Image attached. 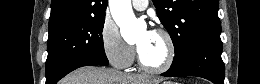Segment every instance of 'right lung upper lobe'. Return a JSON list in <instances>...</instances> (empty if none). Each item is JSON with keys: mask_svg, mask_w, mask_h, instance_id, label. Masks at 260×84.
<instances>
[{"mask_svg": "<svg viewBox=\"0 0 260 84\" xmlns=\"http://www.w3.org/2000/svg\"><path fill=\"white\" fill-rule=\"evenodd\" d=\"M107 0H52L49 29L105 14Z\"/></svg>", "mask_w": 260, "mask_h": 84, "instance_id": "1", "label": "right lung upper lobe"}]
</instances>
